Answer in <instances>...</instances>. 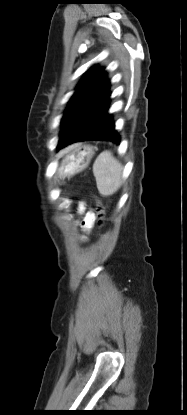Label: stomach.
Masks as SVG:
<instances>
[{"label": "stomach", "instance_id": "0dacf381", "mask_svg": "<svg viewBox=\"0 0 187 415\" xmlns=\"http://www.w3.org/2000/svg\"><path fill=\"white\" fill-rule=\"evenodd\" d=\"M94 154V149L90 145L76 144L72 146L61 163L59 175L67 177L83 171L88 167Z\"/></svg>", "mask_w": 187, "mask_h": 415}]
</instances>
